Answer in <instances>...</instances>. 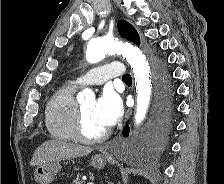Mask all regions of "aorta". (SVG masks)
<instances>
[{
  "label": "aorta",
  "instance_id": "1",
  "mask_svg": "<svg viewBox=\"0 0 224 184\" xmlns=\"http://www.w3.org/2000/svg\"><path fill=\"white\" fill-rule=\"evenodd\" d=\"M120 53L130 64L135 77L137 93V105L135 124L139 125L145 118L151 99V75L150 67L145 55L134 45L114 38L91 39L87 45L86 59L89 63H97L103 60L106 54ZM90 89H84L79 97H93Z\"/></svg>",
  "mask_w": 224,
  "mask_h": 184
}]
</instances>
